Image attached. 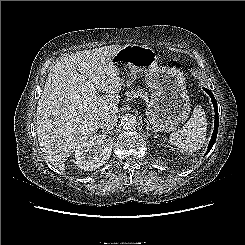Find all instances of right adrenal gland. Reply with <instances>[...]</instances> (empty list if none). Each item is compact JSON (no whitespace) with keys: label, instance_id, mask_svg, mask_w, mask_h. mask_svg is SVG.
<instances>
[{"label":"right adrenal gland","instance_id":"right-adrenal-gland-1","mask_svg":"<svg viewBox=\"0 0 245 245\" xmlns=\"http://www.w3.org/2000/svg\"><path fill=\"white\" fill-rule=\"evenodd\" d=\"M102 132L105 133V134H111V135L113 133V131H104V130H102Z\"/></svg>","mask_w":245,"mask_h":245}]
</instances>
